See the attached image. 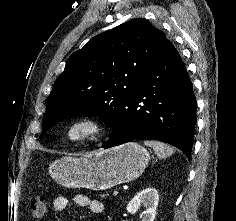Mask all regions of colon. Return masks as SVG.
Returning a JSON list of instances; mask_svg holds the SVG:
<instances>
[{
    "label": "colon",
    "instance_id": "1",
    "mask_svg": "<svg viewBox=\"0 0 236 221\" xmlns=\"http://www.w3.org/2000/svg\"><path fill=\"white\" fill-rule=\"evenodd\" d=\"M32 215L35 218H41L47 211L46 200L41 196H34L30 200Z\"/></svg>",
    "mask_w": 236,
    "mask_h": 221
}]
</instances>
